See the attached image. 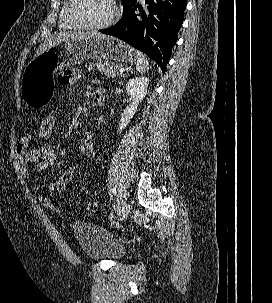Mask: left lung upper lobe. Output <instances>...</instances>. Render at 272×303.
Wrapping results in <instances>:
<instances>
[{"label":"left lung upper lobe","mask_w":272,"mask_h":303,"mask_svg":"<svg viewBox=\"0 0 272 303\" xmlns=\"http://www.w3.org/2000/svg\"><path fill=\"white\" fill-rule=\"evenodd\" d=\"M137 0H122L124 11L130 6L134 5Z\"/></svg>","instance_id":"left-lung-upper-lobe-1"}]
</instances>
